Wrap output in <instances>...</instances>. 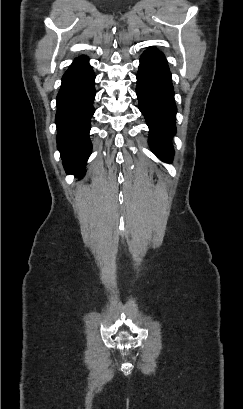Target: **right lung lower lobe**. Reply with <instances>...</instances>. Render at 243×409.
<instances>
[{"instance_id":"obj_1","label":"right lung lower lobe","mask_w":243,"mask_h":409,"mask_svg":"<svg viewBox=\"0 0 243 409\" xmlns=\"http://www.w3.org/2000/svg\"><path fill=\"white\" fill-rule=\"evenodd\" d=\"M95 75L86 56L77 58L65 72L57 95V147L68 174L84 176L92 150L90 119L94 113Z\"/></svg>"}]
</instances>
